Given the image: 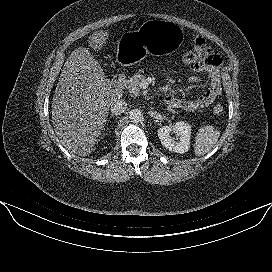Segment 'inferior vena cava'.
<instances>
[{
    "mask_svg": "<svg viewBox=\"0 0 272 272\" xmlns=\"http://www.w3.org/2000/svg\"><path fill=\"white\" fill-rule=\"evenodd\" d=\"M127 109V103L122 99H116L110 106L111 113L113 115H120Z\"/></svg>",
    "mask_w": 272,
    "mask_h": 272,
    "instance_id": "inferior-vena-cava-1",
    "label": "inferior vena cava"
}]
</instances>
